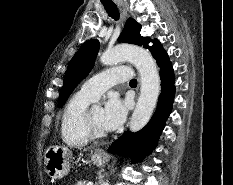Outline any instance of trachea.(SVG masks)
Masks as SVG:
<instances>
[{"label":"trachea","mask_w":233,"mask_h":185,"mask_svg":"<svg viewBox=\"0 0 233 185\" xmlns=\"http://www.w3.org/2000/svg\"><path fill=\"white\" fill-rule=\"evenodd\" d=\"M103 6L111 18L115 20L119 19V11L114 3H103ZM129 84H137V80L132 79Z\"/></svg>","instance_id":"obj_1"}]
</instances>
